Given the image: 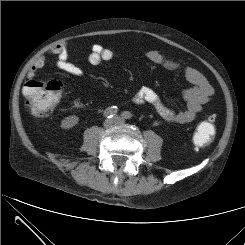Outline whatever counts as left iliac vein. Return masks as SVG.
Instances as JSON below:
<instances>
[{"label": "left iliac vein", "mask_w": 245, "mask_h": 245, "mask_svg": "<svg viewBox=\"0 0 245 245\" xmlns=\"http://www.w3.org/2000/svg\"><path fill=\"white\" fill-rule=\"evenodd\" d=\"M118 120V123H123V119L121 117H116Z\"/></svg>", "instance_id": "obj_1"}]
</instances>
